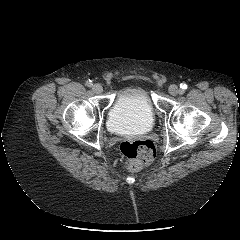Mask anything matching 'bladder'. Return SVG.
Instances as JSON below:
<instances>
[{"instance_id": "bladder-1", "label": "bladder", "mask_w": 240, "mask_h": 240, "mask_svg": "<svg viewBox=\"0 0 240 240\" xmlns=\"http://www.w3.org/2000/svg\"><path fill=\"white\" fill-rule=\"evenodd\" d=\"M156 110L146 88L133 85L122 90L108 111L107 126L113 133H142L155 122Z\"/></svg>"}]
</instances>
